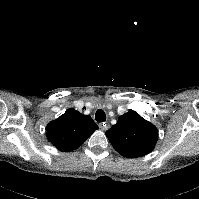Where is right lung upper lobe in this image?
Instances as JSON below:
<instances>
[{
  "mask_svg": "<svg viewBox=\"0 0 199 199\" xmlns=\"http://www.w3.org/2000/svg\"><path fill=\"white\" fill-rule=\"evenodd\" d=\"M98 129L91 116L84 115L70 108L58 119L51 121L47 127V138L57 149L72 151L86 141Z\"/></svg>",
  "mask_w": 199,
  "mask_h": 199,
  "instance_id": "right-lung-upper-lobe-1",
  "label": "right lung upper lobe"
}]
</instances>
